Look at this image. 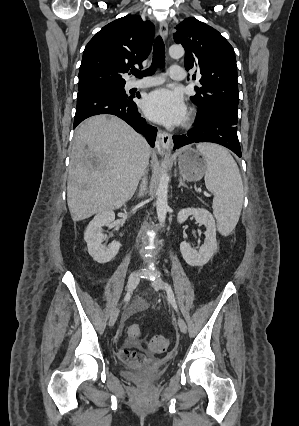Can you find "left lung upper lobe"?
<instances>
[{
  "label": "left lung upper lobe",
  "instance_id": "obj_1",
  "mask_svg": "<svg viewBox=\"0 0 299 426\" xmlns=\"http://www.w3.org/2000/svg\"><path fill=\"white\" fill-rule=\"evenodd\" d=\"M176 29L174 40L185 48L186 70L201 75L202 87L191 97L199 113L220 109L237 117V65L232 46L217 30L193 17L184 19Z\"/></svg>",
  "mask_w": 299,
  "mask_h": 426
}]
</instances>
